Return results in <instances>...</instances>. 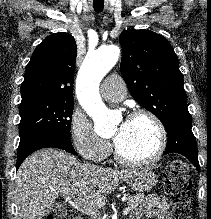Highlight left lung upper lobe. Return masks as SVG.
Here are the masks:
<instances>
[{
	"mask_svg": "<svg viewBox=\"0 0 211 219\" xmlns=\"http://www.w3.org/2000/svg\"><path fill=\"white\" fill-rule=\"evenodd\" d=\"M119 41L121 74L132 97L165 128L175 120L191 118L179 61L168 40L150 30L128 29Z\"/></svg>",
	"mask_w": 211,
	"mask_h": 219,
	"instance_id": "5c2ea615",
	"label": "left lung upper lobe"
}]
</instances>
